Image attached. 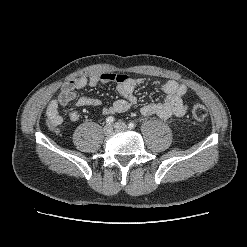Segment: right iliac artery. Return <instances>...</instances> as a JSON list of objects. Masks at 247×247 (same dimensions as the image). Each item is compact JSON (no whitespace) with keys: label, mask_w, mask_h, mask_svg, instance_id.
I'll list each match as a JSON object with an SVG mask.
<instances>
[{"label":"right iliac artery","mask_w":247,"mask_h":247,"mask_svg":"<svg viewBox=\"0 0 247 247\" xmlns=\"http://www.w3.org/2000/svg\"><path fill=\"white\" fill-rule=\"evenodd\" d=\"M114 120H115L114 117L109 116V117L106 118V123L111 125L114 122Z\"/></svg>","instance_id":"right-iliac-artery-1"}]
</instances>
